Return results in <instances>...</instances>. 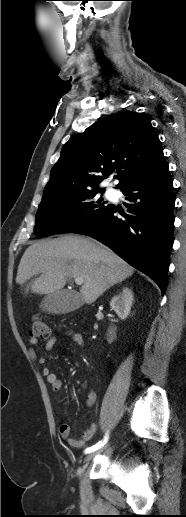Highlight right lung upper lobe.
Wrapping results in <instances>:
<instances>
[{
    "mask_svg": "<svg viewBox=\"0 0 186 517\" xmlns=\"http://www.w3.org/2000/svg\"><path fill=\"white\" fill-rule=\"evenodd\" d=\"M166 164L151 121L132 111H119L72 137L53 166L41 202L62 195L103 190L98 185L115 169L120 190ZM103 173V176L98 173Z\"/></svg>",
    "mask_w": 186,
    "mask_h": 517,
    "instance_id": "cb5924a9",
    "label": "right lung upper lobe"
}]
</instances>
